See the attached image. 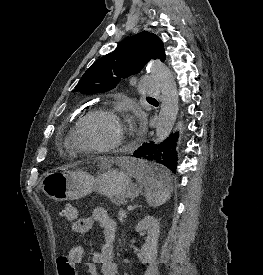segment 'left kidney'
Segmentation results:
<instances>
[{"instance_id": "left-kidney-1", "label": "left kidney", "mask_w": 263, "mask_h": 275, "mask_svg": "<svg viewBox=\"0 0 263 275\" xmlns=\"http://www.w3.org/2000/svg\"><path fill=\"white\" fill-rule=\"evenodd\" d=\"M136 232L146 233L145 243L141 250L142 264L153 263L157 258L158 238L160 233L159 222L153 216H145L135 227Z\"/></svg>"}]
</instances>
